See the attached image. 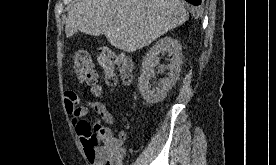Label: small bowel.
Wrapping results in <instances>:
<instances>
[{
    "label": "small bowel",
    "instance_id": "1",
    "mask_svg": "<svg viewBox=\"0 0 276 165\" xmlns=\"http://www.w3.org/2000/svg\"><path fill=\"white\" fill-rule=\"evenodd\" d=\"M64 103L90 164L123 165L127 134L124 131H120L116 136L113 134L109 125L114 124V117L106 106L102 102L93 100H86L82 103L79 95L74 91L65 92ZM89 108L94 109L99 115V122L94 127L97 128L96 143L91 146L88 145L86 137L79 129V123L85 120L89 114Z\"/></svg>",
    "mask_w": 276,
    "mask_h": 165
}]
</instances>
